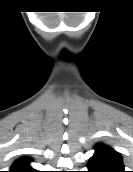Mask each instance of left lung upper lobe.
<instances>
[{"label":"left lung upper lobe","mask_w":133,"mask_h":172,"mask_svg":"<svg viewBox=\"0 0 133 172\" xmlns=\"http://www.w3.org/2000/svg\"><path fill=\"white\" fill-rule=\"evenodd\" d=\"M95 154L90 158L88 172H125L120 153L104 144H97Z\"/></svg>","instance_id":"1"}]
</instances>
